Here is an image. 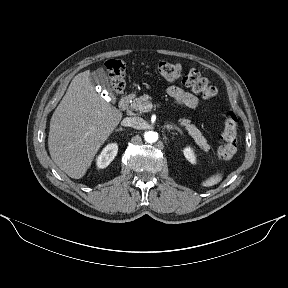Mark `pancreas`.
<instances>
[{
    "label": "pancreas",
    "mask_w": 288,
    "mask_h": 288,
    "mask_svg": "<svg viewBox=\"0 0 288 288\" xmlns=\"http://www.w3.org/2000/svg\"><path fill=\"white\" fill-rule=\"evenodd\" d=\"M152 101V98L144 94L138 98H135L133 102L131 103V108L142 113L144 110L142 109L143 106L150 104ZM180 124L185 127V129L188 131L189 135L194 139L195 143L205 152H208L210 149L209 144L207 143L206 138L202 135L201 131L194 125L191 124V121L189 119H180Z\"/></svg>",
    "instance_id": "pancreas-1"
}]
</instances>
